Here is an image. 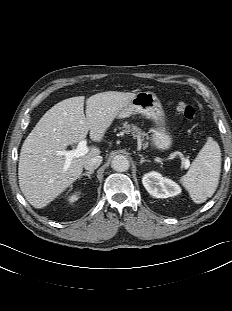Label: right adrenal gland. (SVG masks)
I'll return each instance as SVG.
<instances>
[{
	"mask_svg": "<svg viewBox=\"0 0 232 311\" xmlns=\"http://www.w3.org/2000/svg\"><path fill=\"white\" fill-rule=\"evenodd\" d=\"M94 173V170H91V171H87L85 173H83L80 177H79V180L83 177V176H87L89 179H91V174Z\"/></svg>",
	"mask_w": 232,
	"mask_h": 311,
	"instance_id": "obj_1",
	"label": "right adrenal gland"
}]
</instances>
